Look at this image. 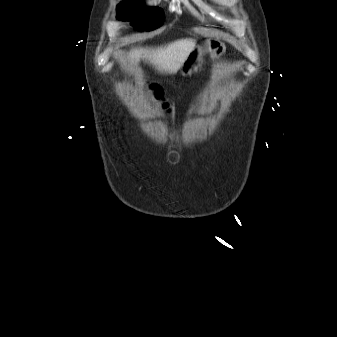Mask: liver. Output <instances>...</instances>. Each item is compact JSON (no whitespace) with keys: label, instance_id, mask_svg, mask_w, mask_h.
Masks as SVG:
<instances>
[{"label":"liver","instance_id":"liver-1","mask_svg":"<svg viewBox=\"0 0 337 337\" xmlns=\"http://www.w3.org/2000/svg\"><path fill=\"white\" fill-rule=\"evenodd\" d=\"M195 46L196 40L181 39L158 48H136L131 58L143 59L162 73L176 74Z\"/></svg>","mask_w":337,"mask_h":337}]
</instances>
